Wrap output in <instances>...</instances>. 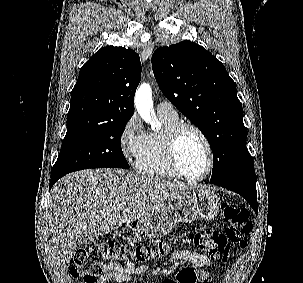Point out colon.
Listing matches in <instances>:
<instances>
[{"instance_id":"1","label":"colon","mask_w":303,"mask_h":283,"mask_svg":"<svg viewBox=\"0 0 303 283\" xmlns=\"http://www.w3.org/2000/svg\"><path fill=\"white\" fill-rule=\"evenodd\" d=\"M221 212L227 227L225 230H199L185 234L182 238L192 241L213 260L225 262L233 247H244L252 229L249 211L244 207L224 202ZM182 238H178L179 242ZM172 249L167 242L153 245L131 246L117 241H106L78 250L69 266L70 275L82 277L85 283H95L105 266L118 261L144 265L149 261L164 258ZM202 274L191 267L180 270L176 277L163 283H202Z\"/></svg>"}]
</instances>
